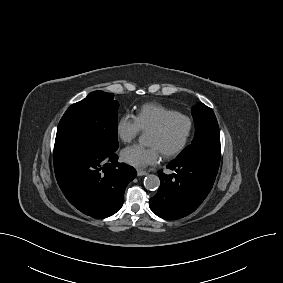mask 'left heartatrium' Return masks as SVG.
I'll return each instance as SVG.
<instances>
[{
    "instance_id": "obj_1",
    "label": "left heart atrium",
    "mask_w": 283,
    "mask_h": 283,
    "mask_svg": "<svg viewBox=\"0 0 283 283\" xmlns=\"http://www.w3.org/2000/svg\"><path fill=\"white\" fill-rule=\"evenodd\" d=\"M160 154L161 151L156 146L133 145L122 151V159L132 166L144 168L156 164Z\"/></svg>"
}]
</instances>
